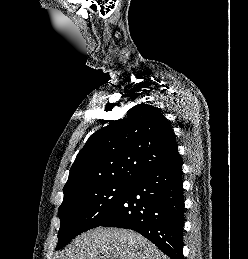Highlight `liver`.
Masks as SVG:
<instances>
[{"instance_id": "1", "label": "liver", "mask_w": 248, "mask_h": 259, "mask_svg": "<svg viewBox=\"0 0 248 259\" xmlns=\"http://www.w3.org/2000/svg\"><path fill=\"white\" fill-rule=\"evenodd\" d=\"M60 259H169L140 234L98 227L73 240Z\"/></svg>"}]
</instances>
